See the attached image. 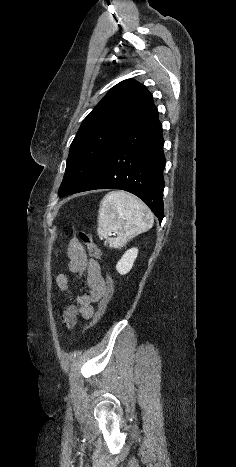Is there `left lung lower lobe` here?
Returning a JSON list of instances; mask_svg holds the SVG:
<instances>
[{
	"label": "left lung lower lobe",
	"instance_id": "obj_1",
	"mask_svg": "<svg viewBox=\"0 0 236 467\" xmlns=\"http://www.w3.org/2000/svg\"><path fill=\"white\" fill-rule=\"evenodd\" d=\"M163 142L155 107L113 144L91 178L75 193L95 189L128 191L142 199L161 223Z\"/></svg>",
	"mask_w": 236,
	"mask_h": 467
}]
</instances>
